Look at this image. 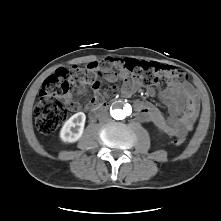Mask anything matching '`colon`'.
Masks as SVG:
<instances>
[{"label": "colon", "instance_id": "1", "mask_svg": "<svg viewBox=\"0 0 221 221\" xmlns=\"http://www.w3.org/2000/svg\"><path fill=\"white\" fill-rule=\"evenodd\" d=\"M123 66L136 81L163 89L186 78L183 71L156 62L129 59L124 61ZM99 82L100 69L97 63L55 70L45 79L35 106V124L39 132L50 134L66 119L70 96L75 89L93 87ZM114 93V87L106 89L107 95ZM183 142V137H176L173 140L175 145H181Z\"/></svg>", "mask_w": 221, "mask_h": 221}]
</instances>
